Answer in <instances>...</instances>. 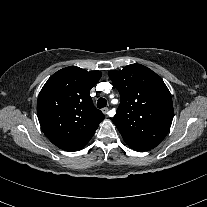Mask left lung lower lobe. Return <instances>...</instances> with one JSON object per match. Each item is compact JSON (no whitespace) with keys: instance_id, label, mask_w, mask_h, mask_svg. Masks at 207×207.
Segmentation results:
<instances>
[{"instance_id":"obj_1","label":"left lung lower lobe","mask_w":207,"mask_h":207,"mask_svg":"<svg viewBox=\"0 0 207 207\" xmlns=\"http://www.w3.org/2000/svg\"><path fill=\"white\" fill-rule=\"evenodd\" d=\"M132 149L136 150V151H147V150H150V149H147V148H141V147H136V146H132L130 144H128Z\"/></svg>"}]
</instances>
